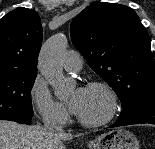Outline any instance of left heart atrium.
Returning <instances> with one entry per match:
<instances>
[{
	"label": "left heart atrium",
	"mask_w": 155,
	"mask_h": 149,
	"mask_svg": "<svg viewBox=\"0 0 155 149\" xmlns=\"http://www.w3.org/2000/svg\"><path fill=\"white\" fill-rule=\"evenodd\" d=\"M84 95H85V88H79L74 93L72 99L69 102V107L73 113L75 114L79 113L83 103Z\"/></svg>",
	"instance_id": "1"
}]
</instances>
